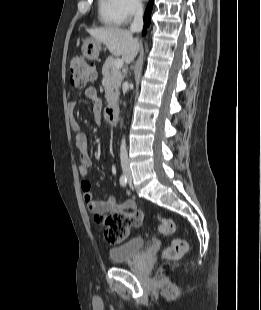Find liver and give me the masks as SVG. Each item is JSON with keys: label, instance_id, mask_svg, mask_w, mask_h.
<instances>
[{"label": "liver", "instance_id": "6515ba94", "mask_svg": "<svg viewBox=\"0 0 261 310\" xmlns=\"http://www.w3.org/2000/svg\"><path fill=\"white\" fill-rule=\"evenodd\" d=\"M88 33L97 41L106 45L114 56H122L127 64L131 63L140 50L138 39L130 31L120 28L89 29Z\"/></svg>", "mask_w": 261, "mask_h": 310}]
</instances>
